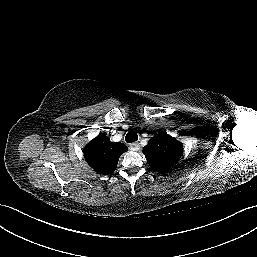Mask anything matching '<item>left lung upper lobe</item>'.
<instances>
[{
	"label": "left lung upper lobe",
	"instance_id": "1",
	"mask_svg": "<svg viewBox=\"0 0 257 257\" xmlns=\"http://www.w3.org/2000/svg\"><path fill=\"white\" fill-rule=\"evenodd\" d=\"M182 143L168 135L160 132L151 138L143 148V153L153 170L163 173L167 172L182 154Z\"/></svg>",
	"mask_w": 257,
	"mask_h": 257
}]
</instances>
